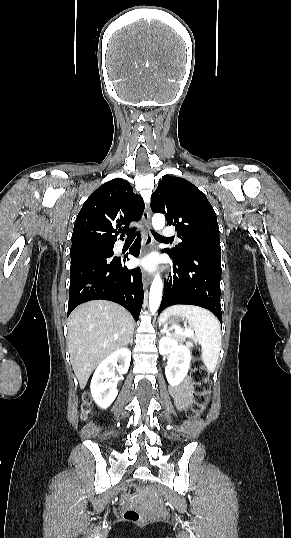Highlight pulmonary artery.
<instances>
[{
	"label": "pulmonary artery",
	"instance_id": "1",
	"mask_svg": "<svg viewBox=\"0 0 291 538\" xmlns=\"http://www.w3.org/2000/svg\"><path fill=\"white\" fill-rule=\"evenodd\" d=\"M174 235L175 233L171 228H164L161 233V236H163L164 238H171ZM177 241H180V239L177 238Z\"/></svg>",
	"mask_w": 291,
	"mask_h": 538
}]
</instances>
